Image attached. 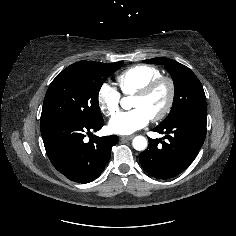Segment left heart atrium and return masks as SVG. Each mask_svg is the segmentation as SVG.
<instances>
[{
  "label": "left heart atrium",
  "instance_id": "obj_1",
  "mask_svg": "<svg viewBox=\"0 0 236 236\" xmlns=\"http://www.w3.org/2000/svg\"><path fill=\"white\" fill-rule=\"evenodd\" d=\"M149 115L141 108L120 112L109 122V128L113 133L126 135L145 127L150 121Z\"/></svg>",
  "mask_w": 236,
  "mask_h": 236
}]
</instances>
